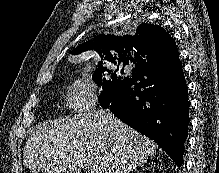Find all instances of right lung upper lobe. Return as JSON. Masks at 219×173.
<instances>
[{
  "mask_svg": "<svg viewBox=\"0 0 219 173\" xmlns=\"http://www.w3.org/2000/svg\"><path fill=\"white\" fill-rule=\"evenodd\" d=\"M91 49L100 55L93 78L105 66L129 63L139 66L151 59L157 64L171 66L179 57L175 40L164 28L153 24L139 25L135 35H98L93 40L79 45L72 54Z\"/></svg>",
  "mask_w": 219,
  "mask_h": 173,
  "instance_id": "right-lung-upper-lobe-1",
  "label": "right lung upper lobe"
}]
</instances>
